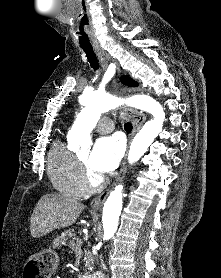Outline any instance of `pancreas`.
Masks as SVG:
<instances>
[{
  "mask_svg": "<svg viewBox=\"0 0 221 278\" xmlns=\"http://www.w3.org/2000/svg\"><path fill=\"white\" fill-rule=\"evenodd\" d=\"M70 238L69 242L66 244L67 239ZM75 236L70 233V232H64L62 235L57 236L52 243V247L53 248H60L63 245L68 246L71 251L70 253H75L77 256H81L82 250L81 247L78 243H75ZM84 261H85V266L87 268H91V265L93 264V257L89 252L85 251V257H84Z\"/></svg>",
  "mask_w": 221,
  "mask_h": 278,
  "instance_id": "1",
  "label": "pancreas"
}]
</instances>
